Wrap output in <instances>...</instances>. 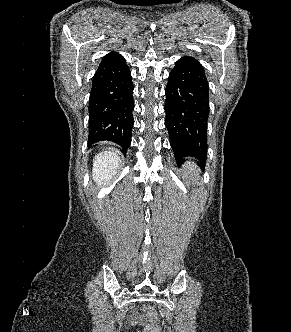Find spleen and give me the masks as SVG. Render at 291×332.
Here are the masks:
<instances>
[{"mask_svg": "<svg viewBox=\"0 0 291 332\" xmlns=\"http://www.w3.org/2000/svg\"><path fill=\"white\" fill-rule=\"evenodd\" d=\"M185 168L188 173L191 174H196L198 172L197 164L194 161H191V159L185 163Z\"/></svg>", "mask_w": 291, "mask_h": 332, "instance_id": "3e777b00", "label": "spleen"}]
</instances>
